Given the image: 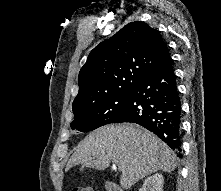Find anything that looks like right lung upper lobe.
Listing matches in <instances>:
<instances>
[{"instance_id": "obj_1", "label": "right lung upper lobe", "mask_w": 221, "mask_h": 191, "mask_svg": "<svg viewBox=\"0 0 221 191\" xmlns=\"http://www.w3.org/2000/svg\"><path fill=\"white\" fill-rule=\"evenodd\" d=\"M168 55L159 31L141 21L127 24L90 52L79 72L73 112L132 91Z\"/></svg>"}]
</instances>
